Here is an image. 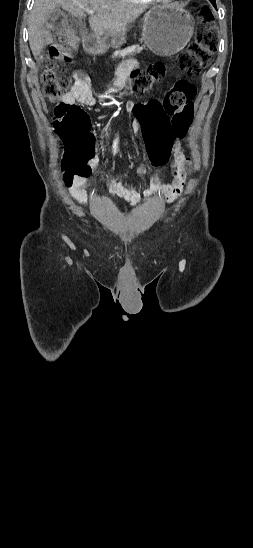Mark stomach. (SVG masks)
Returning <instances> with one entry per match:
<instances>
[{"mask_svg": "<svg viewBox=\"0 0 253 548\" xmlns=\"http://www.w3.org/2000/svg\"><path fill=\"white\" fill-rule=\"evenodd\" d=\"M193 17L176 5H158L152 7L144 17L142 39L147 47L161 56H171L182 50L193 35ZM97 37L88 50L93 54H102L108 47L120 48L125 38Z\"/></svg>", "mask_w": 253, "mask_h": 548, "instance_id": "0dacf381", "label": "stomach"}]
</instances>
